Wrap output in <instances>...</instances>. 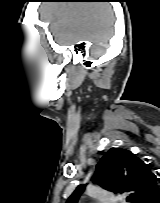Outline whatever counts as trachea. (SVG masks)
<instances>
[{
  "instance_id": "obj_1",
  "label": "trachea",
  "mask_w": 160,
  "mask_h": 203,
  "mask_svg": "<svg viewBox=\"0 0 160 203\" xmlns=\"http://www.w3.org/2000/svg\"><path fill=\"white\" fill-rule=\"evenodd\" d=\"M130 199H131V198H130V197H128V198H127V201H130Z\"/></svg>"
}]
</instances>
